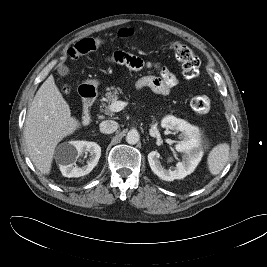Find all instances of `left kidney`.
<instances>
[{
    "label": "left kidney",
    "instance_id": "5707ae66",
    "mask_svg": "<svg viewBox=\"0 0 267 267\" xmlns=\"http://www.w3.org/2000/svg\"><path fill=\"white\" fill-rule=\"evenodd\" d=\"M161 126L181 132L182 140L175 145V149L177 152L183 153V159L177 163L174 169H165L159 161L160 154L157 151H151L148 154L150 168L162 180L173 181L175 179H183L194 171L200 160L198 153L194 150L195 144L198 141L196 137L197 131L186 121L172 115L164 117L161 121Z\"/></svg>",
    "mask_w": 267,
    "mask_h": 267
}]
</instances>
